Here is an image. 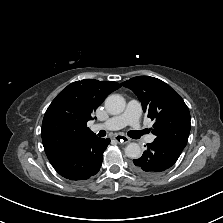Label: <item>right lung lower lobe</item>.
I'll list each match as a JSON object with an SVG mask.
<instances>
[{
  "instance_id": "obj_1",
  "label": "right lung lower lobe",
  "mask_w": 223,
  "mask_h": 223,
  "mask_svg": "<svg viewBox=\"0 0 223 223\" xmlns=\"http://www.w3.org/2000/svg\"><path fill=\"white\" fill-rule=\"evenodd\" d=\"M109 143L110 139L94 136L84 144L57 153L48 159L64 178L74 181L86 180L100 170L103 152Z\"/></svg>"
}]
</instances>
